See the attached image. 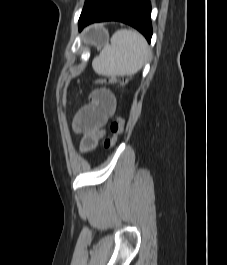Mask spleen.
I'll list each match as a JSON object with an SVG mask.
<instances>
[{"mask_svg": "<svg viewBox=\"0 0 227 265\" xmlns=\"http://www.w3.org/2000/svg\"><path fill=\"white\" fill-rule=\"evenodd\" d=\"M149 47L138 32L120 29L92 62L94 71L104 76H132L146 63Z\"/></svg>", "mask_w": 227, "mask_h": 265, "instance_id": "3e777b00", "label": "spleen"}]
</instances>
